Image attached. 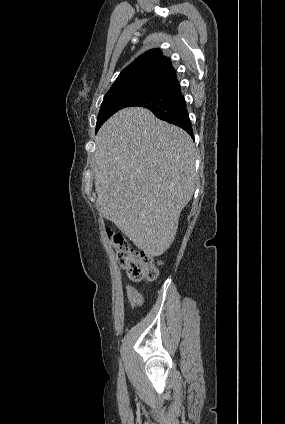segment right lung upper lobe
I'll use <instances>...</instances> for the list:
<instances>
[{"instance_id": "right-lung-upper-lobe-1", "label": "right lung upper lobe", "mask_w": 285, "mask_h": 424, "mask_svg": "<svg viewBox=\"0 0 285 424\" xmlns=\"http://www.w3.org/2000/svg\"><path fill=\"white\" fill-rule=\"evenodd\" d=\"M177 79L169 58L160 49H151L136 58L117 77L110 89L140 82L167 84Z\"/></svg>"}]
</instances>
